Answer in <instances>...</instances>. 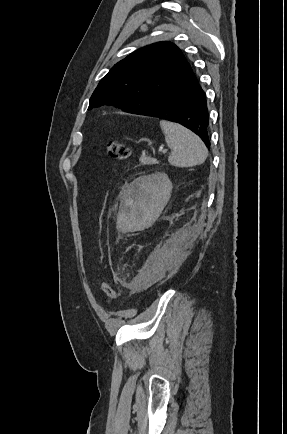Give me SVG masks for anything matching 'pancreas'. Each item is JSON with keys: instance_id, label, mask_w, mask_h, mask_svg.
I'll use <instances>...</instances> for the list:
<instances>
[{"instance_id": "1", "label": "pancreas", "mask_w": 287, "mask_h": 434, "mask_svg": "<svg viewBox=\"0 0 287 434\" xmlns=\"http://www.w3.org/2000/svg\"><path fill=\"white\" fill-rule=\"evenodd\" d=\"M139 160L142 165H153L158 163V161L155 158H152L147 155H142Z\"/></svg>"}]
</instances>
